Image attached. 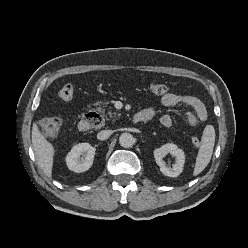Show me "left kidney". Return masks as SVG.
<instances>
[{
  "mask_svg": "<svg viewBox=\"0 0 248 248\" xmlns=\"http://www.w3.org/2000/svg\"><path fill=\"white\" fill-rule=\"evenodd\" d=\"M154 158L157 165L160 167V171L168 177H177L183 171L185 163V154L183 150L179 149L177 145L173 143H167L160 148L154 150ZM170 153L175 159L176 163L172 167H168L163 158L166 154Z\"/></svg>",
  "mask_w": 248,
  "mask_h": 248,
  "instance_id": "left-kidney-1",
  "label": "left kidney"
}]
</instances>
